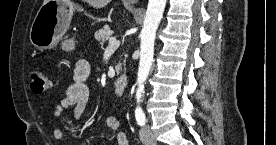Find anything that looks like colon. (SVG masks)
I'll use <instances>...</instances> for the list:
<instances>
[{"mask_svg": "<svg viewBox=\"0 0 276 145\" xmlns=\"http://www.w3.org/2000/svg\"><path fill=\"white\" fill-rule=\"evenodd\" d=\"M31 89L34 93H43L50 87V81L45 72L34 67L30 70Z\"/></svg>", "mask_w": 276, "mask_h": 145, "instance_id": "5ec220e1", "label": "colon"}]
</instances>
